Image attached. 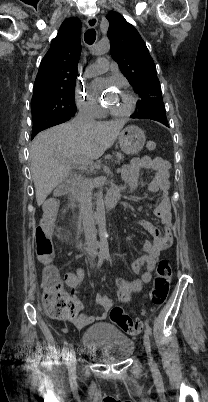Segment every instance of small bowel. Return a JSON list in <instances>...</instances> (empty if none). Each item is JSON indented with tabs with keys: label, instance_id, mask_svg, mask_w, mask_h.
Here are the masks:
<instances>
[{
	"label": "small bowel",
	"instance_id": "c3829d8e",
	"mask_svg": "<svg viewBox=\"0 0 208 402\" xmlns=\"http://www.w3.org/2000/svg\"><path fill=\"white\" fill-rule=\"evenodd\" d=\"M142 169H151L154 171V177L148 184L149 192H160V203L154 210V215L161 221V228L154 226L146 220H139L137 224L155 236L154 241H148L145 245L146 254L139 258L133 264L135 272H142L141 278L133 283L117 279L114 285L117 291L118 300L127 302L131 297V293L141 288L142 284H146L151 280V272L154 269L155 262L159 253L170 247L173 242L172 235V213L171 203L169 198V163L161 157H142L135 158L122 169V178L125 181L129 190H135L139 184L140 171ZM65 280H71L72 292L84 277L83 269H77L76 273L71 274L69 270L64 272ZM78 310L82 309V304L74 300ZM96 302L102 306L103 313L97 316H80L77 321H74L71 315H56L54 321L56 324H62L66 330H84L87 327L86 323L92 322L100 324L105 319L107 312L113 306V301L104 295H97Z\"/></svg>",
	"mask_w": 208,
	"mask_h": 402
}]
</instances>
